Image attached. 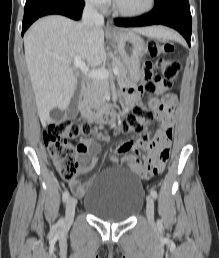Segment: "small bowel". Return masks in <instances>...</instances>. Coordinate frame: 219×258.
<instances>
[{
	"mask_svg": "<svg viewBox=\"0 0 219 258\" xmlns=\"http://www.w3.org/2000/svg\"><path fill=\"white\" fill-rule=\"evenodd\" d=\"M143 72L146 78L153 75V65L146 62L143 65ZM126 105L132 106L138 102V97L133 90L124 92ZM177 104L175 94H168L162 100L153 99L150 101V106L155 110L156 119L160 122L161 128L150 141L140 139L138 143L134 141H126L115 147L113 154L110 156V161L117 165H127L131 171L143 177H146L147 183H152V178H158V175H163L162 170L169 158L170 145L173 135L174 115ZM107 137L103 134L98 136L97 141L85 140L81 143L83 148L80 159L79 171L84 173L86 170L95 166L98 160V154L101 146L100 141H105ZM153 147H156L153 148ZM152 151L151 157L147 160V166H143L140 159L132 152L139 150ZM92 153V158L87 157L88 152ZM164 151V153H162ZM123 155L119 159V155ZM90 180L83 181L82 177H77L69 182L71 191L78 197H82L87 189Z\"/></svg>",
	"mask_w": 219,
	"mask_h": 258,
	"instance_id": "obj_1",
	"label": "small bowel"
}]
</instances>
